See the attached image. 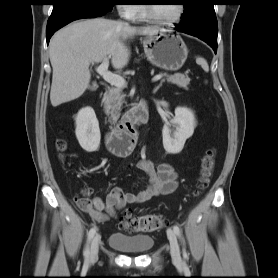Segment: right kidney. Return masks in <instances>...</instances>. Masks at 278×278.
Returning a JSON list of instances; mask_svg holds the SVG:
<instances>
[{
    "mask_svg": "<svg viewBox=\"0 0 278 278\" xmlns=\"http://www.w3.org/2000/svg\"><path fill=\"white\" fill-rule=\"evenodd\" d=\"M75 134L86 152H94L100 145V129L95 112L91 107L82 108L75 119Z\"/></svg>",
    "mask_w": 278,
    "mask_h": 278,
    "instance_id": "obj_1",
    "label": "right kidney"
}]
</instances>
